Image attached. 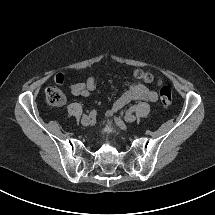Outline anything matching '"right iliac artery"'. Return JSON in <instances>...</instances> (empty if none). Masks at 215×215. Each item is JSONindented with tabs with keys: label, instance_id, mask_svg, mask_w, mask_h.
Wrapping results in <instances>:
<instances>
[{
	"label": "right iliac artery",
	"instance_id": "82829eb1",
	"mask_svg": "<svg viewBox=\"0 0 215 215\" xmlns=\"http://www.w3.org/2000/svg\"><path fill=\"white\" fill-rule=\"evenodd\" d=\"M96 115V110L94 109V110H92L90 113H89V116L90 117H93V116H95Z\"/></svg>",
	"mask_w": 215,
	"mask_h": 215
}]
</instances>
